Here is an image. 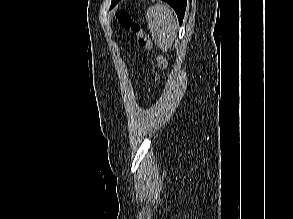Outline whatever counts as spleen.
Wrapping results in <instances>:
<instances>
[{
    "label": "spleen",
    "instance_id": "1",
    "mask_svg": "<svg viewBox=\"0 0 293 219\" xmlns=\"http://www.w3.org/2000/svg\"><path fill=\"white\" fill-rule=\"evenodd\" d=\"M148 28L157 46L167 52L172 47L176 35L177 20L169 7L156 4L146 13Z\"/></svg>",
    "mask_w": 293,
    "mask_h": 219
}]
</instances>
